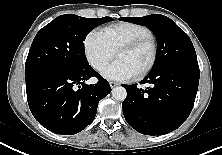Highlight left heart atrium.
<instances>
[{
  "mask_svg": "<svg viewBox=\"0 0 222 155\" xmlns=\"http://www.w3.org/2000/svg\"><path fill=\"white\" fill-rule=\"evenodd\" d=\"M104 77L110 80L126 81L135 76L131 68L122 60L116 59L103 71Z\"/></svg>",
  "mask_w": 222,
  "mask_h": 155,
  "instance_id": "1",
  "label": "left heart atrium"
}]
</instances>
